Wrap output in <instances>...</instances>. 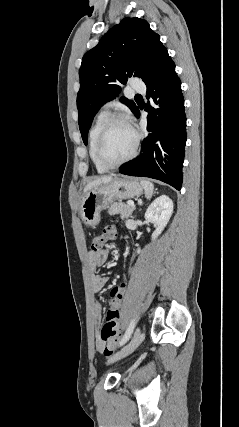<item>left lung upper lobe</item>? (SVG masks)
Returning a JSON list of instances; mask_svg holds the SVG:
<instances>
[{"mask_svg": "<svg viewBox=\"0 0 239 427\" xmlns=\"http://www.w3.org/2000/svg\"><path fill=\"white\" fill-rule=\"evenodd\" d=\"M172 59L160 36L146 20L124 18L111 28L83 59L79 70L80 90L77 95L79 129L85 145L93 118L100 107L121 91L128 77L141 78L145 84L155 78ZM135 114L133 101L120 100Z\"/></svg>", "mask_w": 239, "mask_h": 427, "instance_id": "1", "label": "left lung upper lobe"}]
</instances>
